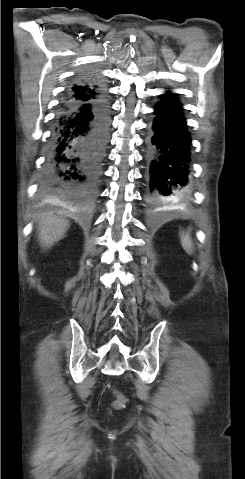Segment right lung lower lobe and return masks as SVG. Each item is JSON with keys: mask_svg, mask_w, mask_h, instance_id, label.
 Instances as JSON below:
<instances>
[{"mask_svg": "<svg viewBox=\"0 0 245 479\" xmlns=\"http://www.w3.org/2000/svg\"><path fill=\"white\" fill-rule=\"evenodd\" d=\"M88 75L79 76L75 84L86 80ZM109 120L105 94L85 103L64 100L54 120L40 179L39 191L44 198L81 209L93 204Z\"/></svg>", "mask_w": 245, "mask_h": 479, "instance_id": "98d812e1", "label": "right lung lower lobe"}]
</instances>
